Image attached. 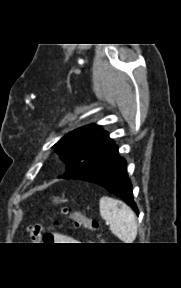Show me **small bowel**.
<instances>
[{
  "label": "small bowel",
  "mask_w": 181,
  "mask_h": 288,
  "mask_svg": "<svg viewBox=\"0 0 181 288\" xmlns=\"http://www.w3.org/2000/svg\"><path fill=\"white\" fill-rule=\"evenodd\" d=\"M51 242L58 243V244L79 243L78 240H76L75 238H73L69 235L61 234V233H53L52 238H51Z\"/></svg>",
  "instance_id": "1"
}]
</instances>
